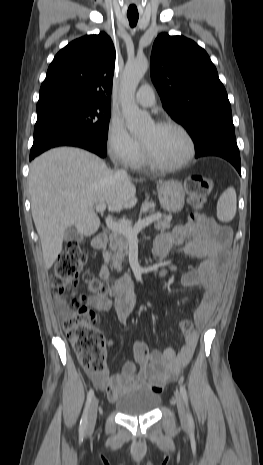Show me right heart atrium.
<instances>
[{
	"label": "right heart atrium",
	"mask_w": 263,
	"mask_h": 465,
	"mask_svg": "<svg viewBox=\"0 0 263 465\" xmlns=\"http://www.w3.org/2000/svg\"><path fill=\"white\" fill-rule=\"evenodd\" d=\"M109 155L124 165H134L141 156V145L126 129L121 119L112 117L106 132Z\"/></svg>",
	"instance_id": "right-heart-atrium-1"
}]
</instances>
